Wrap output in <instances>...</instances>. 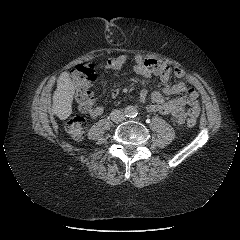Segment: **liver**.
<instances>
[{"label":"liver","mask_w":240,"mask_h":240,"mask_svg":"<svg viewBox=\"0 0 240 240\" xmlns=\"http://www.w3.org/2000/svg\"><path fill=\"white\" fill-rule=\"evenodd\" d=\"M75 90L67 72H62L57 80V88L53 94L52 112L59 119L65 120L72 114V102Z\"/></svg>","instance_id":"obj_1"}]
</instances>
